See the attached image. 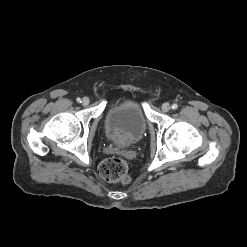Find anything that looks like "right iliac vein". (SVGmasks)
Segmentation results:
<instances>
[{"mask_svg": "<svg viewBox=\"0 0 247 247\" xmlns=\"http://www.w3.org/2000/svg\"><path fill=\"white\" fill-rule=\"evenodd\" d=\"M81 102L83 106H87L90 103V100L88 97H84Z\"/></svg>", "mask_w": 247, "mask_h": 247, "instance_id": "63e3f726", "label": "right iliac vein"}]
</instances>
